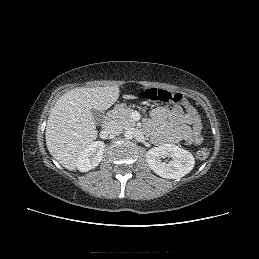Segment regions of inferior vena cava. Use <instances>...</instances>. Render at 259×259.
<instances>
[{
  "label": "inferior vena cava",
  "mask_w": 259,
  "mask_h": 259,
  "mask_svg": "<svg viewBox=\"0 0 259 259\" xmlns=\"http://www.w3.org/2000/svg\"><path fill=\"white\" fill-rule=\"evenodd\" d=\"M123 128L120 124L116 122H112L106 125L105 127V133L110 136H116L119 135L122 132Z\"/></svg>",
  "instance_id": "1"
}]
</instances>
